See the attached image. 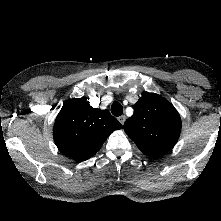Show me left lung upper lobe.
Returning a JSON list of instances; mask_svg holds the SVG:
<instances>
[{
    "instance_id": "left-lung-upper-lobe-1",
    "label": "left lung upper lobe",
    "mask_w": 221,
    "mask_h": 221,
    "mask_svg": "<svg viewBox=\"0 0 221 221\" xmlns=\"http://www.w3.org/2000/svg\"><path fill=\"white\" fill-rule=\"evenodd\" d=\"M124 130L145 155L153 158L174 147L181 131V118L165 98L148 93L135 104Z\"/></svg>"
}]
</instances>
